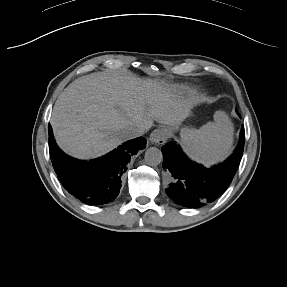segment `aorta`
<instances>
[{"label":"aorta","mask_w":287,"mask_h":287,"mask_svg":"<svg viewBox=\"0 0 287 287\" xmlns=\"http://www.w3.org/2000/svg\"><path fill=\"white\" fill-rule=\"evenodd\" d=\"M144 160L150 166H157L163 160V155L160 149L150 147L145 151Z\"/></svg>","instance_id":"1"}]
</instances>
